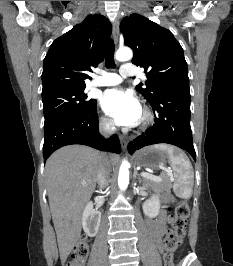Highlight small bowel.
Listing matches in <instances>:
<instances>
[{
	"mask_svg": "<svg viewBox=\"0 0 233 266\" xmlns=\"http://www.w3.org/2000/svg\"><path fill=\"white\" fill-rule=\"evenodd\" d=\"M147 228L152 234L154 241L157 246L162 248V238L166 231V212L162 210L158 217L156 218H147L146 220Z\"/></svg>",
	"mask_w": 233,
	"mask_h": 266,
	"instance_id": "obj_1",
	"label": "small bowel"
}]
</instances>
